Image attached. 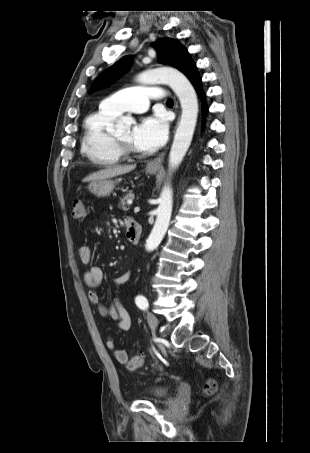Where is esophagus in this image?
Here are the masks:
<instances>
[{
	"instance_id": "34e87169",
	"label": "esophagus",
	"mask_w": 310,
	"mask_h": 453,
	"mask_svg": "<svg viewBox=\"0 0 310 453\" xmlns=\"http://www.w3.org/2000/svg\"><path fill=\"white\" fill-rule=\"evenodd\" d=\"M163 158H164V153L160 154L158 157H156L155 159L151 160L148 163V167H150V168H158V167H160L161 164H162Z\"/></svg>"
}]
</instances>
